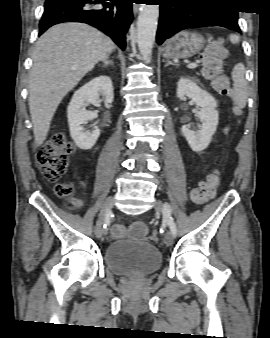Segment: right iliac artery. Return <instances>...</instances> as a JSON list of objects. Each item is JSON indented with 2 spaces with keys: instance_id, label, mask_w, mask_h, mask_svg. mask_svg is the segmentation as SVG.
Masks as SVG:
<instances>
[{
  "instance_id": "1",
  "label": "right iliac artery",
  "mask_w": 270,
  "mask_h": 338,
  "mask_svg": "<svg viewBox=\"0 0 270 338\" xmlns=\"http://www.w3.org/2000/svg\"><path fill=\"white\" fill-rule=\"evenodd\" d=\"M111 217H112V213L111 211H109L105 217V220H104V225H103V228L105 230V233H107L108 229H109V226H110V221H111Z\"/></svg>"
}]
</instances>
